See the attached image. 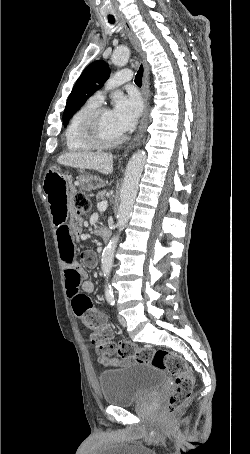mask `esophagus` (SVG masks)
<instances>
[{
	"label": "esophagus",
	"instance_id": "1",
	"mask_svg": "<svg viewBox=\"0 0 250 454\" xmlns=\"http://www.w3.org/2000/svg\"><path fill=\"white\" fill-rule=\"evenodd\" d=\"M118 18L121 22V24L124 27L125 32L128 34L133 46L137 50V52L141 55L143 58V63H144V77H143V96H144V113L142 120L140 122L139 128L137 135L135 137V141H138L142 136L143 133L145 132L146 126H147V119H148V112H149V104H148V99H149V65L146 61V54L143 51L139 39L136 37L135 33L133 32V29L131 25L129 24L128 20L125 18L123 15H118Z\"/></svg>",
	"mask_w": 250,
	"mask_h": 454
}]
</instances>
